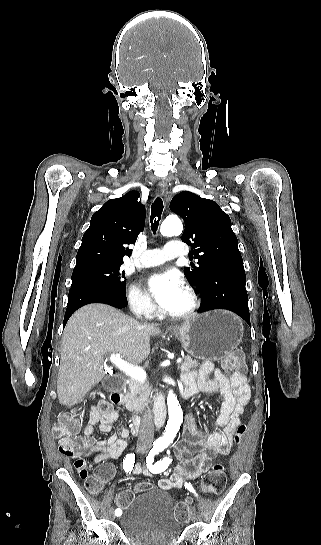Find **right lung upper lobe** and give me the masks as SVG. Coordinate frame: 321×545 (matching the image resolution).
<instances>
[{"instance_id": "obj_1", "label": "right lung upper lobe", "mask_w": 321, "mask_h": 545, "mask_svg": "<svg viewBox=\"0 0 321 545\" xmlns=\"http://www.w3.org/2000/svg\"><path fill=\"white\" fill-rule=\"evenodd\" d=\"M139 193L130 191L107 201L91 218L77 253L74 269L96 264H123L144 228L145 208L138 202Z\"/></svg>"}]
</instances>
